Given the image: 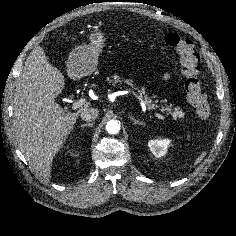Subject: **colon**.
Returning a JSON list of instances; mask_svg holds the SVG:
<instances>
[{
  "mask_svg": "<svg viewBox=\"0 0 236 236\" xmlns=\"http://www.w3.org/2000/svg\"><path fill=\"white\" fill-rule=\"evenodd\" d=\"M165 43L179 56L181 71L185 78L184 88L190 105L200 118H207L211 106L202 91L199 80V56L194 43L174 33L165 36Z\"/></svg>",
  "mask_w": 236,
  "mask_h": 236,
  "instance_id": "1",
  "label": "colon"
}]
</instances>
